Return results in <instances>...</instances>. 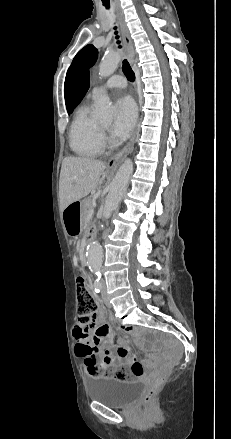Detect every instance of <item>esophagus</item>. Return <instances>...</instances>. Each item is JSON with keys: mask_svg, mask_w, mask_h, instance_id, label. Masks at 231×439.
<instances>
[{"mask_svg": "<svg viewBox=\"0 0 231 439\" xmlns=\"http://www.w3.org/2000/svg\"><path fill=\"white\" fill-rule=\"evenodd\" d=\"M118 15H119V20H120V26H121V32H122V38H123L126 57H127L128 62L132 65L134 63L133 42H132L128 27L124 21L123 14L120 10L118 11ZM140 110H141V103L139 100L137 123H136L135 129H134L133 135H132L130 141L128 142V144L120 152H118L116 155H114L113 157H111L109 159V161L107 162V167L109 169H112V170L116 169L118 167L119 163L121 162V160L133 149L135 139H136V136H137V133L139 130Z\"/></svg>", "mask_w": 231, "mask_h": 439, "instance_id": "obj_1", "label": "esophagus"}]
</instances>
